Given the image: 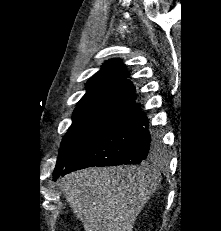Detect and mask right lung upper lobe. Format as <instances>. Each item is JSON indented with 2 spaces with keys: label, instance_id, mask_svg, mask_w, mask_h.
<instances>
[{
  "label": "right lung upper lobe",
  "instance_id": "obj_1",
  "mask_svg": "<svg viewBox=\"0 0 221 231\" xmlns=\"http://www.w3.org/2000/svg\"><path fill=\"white\" fill-rule=\"evenodd\" d=\"M120 59H111L87 82L86 94L79 102L95 98H118L135 102V88ZM78 102V103H79Z\"/></svg>",
  "mask_w": 221,
  "mask_h": 231
}]
</instances>
